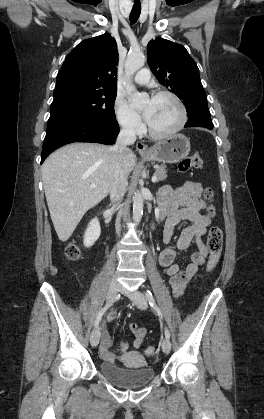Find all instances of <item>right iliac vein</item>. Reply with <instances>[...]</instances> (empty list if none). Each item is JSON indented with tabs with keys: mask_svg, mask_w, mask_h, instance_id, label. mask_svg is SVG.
<instances>
[{
	"mask_svg": "<svg viewBox=\"0 0 264 419\" xmlns=\"http://www.w3.org/2000/svg\"><path fill=\"white\" fill-rule=\"evenodd\" d=\"M120 290V285L116 280H113L110 283L108 293H107V303L110 304L116 298L118 292ZM100 340V327H96L90 336V343L93 347H96Z\"/></svg>",
	"mask_w": 264,
	"mask_h": 419,
	"instance_id": "obj_1",
	"label": "right iliac vein"
}]
</instances>
